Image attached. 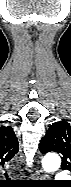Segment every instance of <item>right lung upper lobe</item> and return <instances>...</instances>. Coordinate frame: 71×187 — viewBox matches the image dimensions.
I'll list each match as a JSON object with an SVG mask.
<instances>
[{
  "label": "right lung upper lobe",
  "mask_w": 71,
  "mask_h": 187,
  "mask_svg": "<svg viewBox=\"0 0 71 187\" xmlns=\"http://www.w3.org/2000/svg\"><path fill=\"white\" fill-rule=\"evenodd\" d=\"M18 141L11 126L0 127V157L9 162L18 153Z\"/></svg>",
  "instance_id": "cb5924a9"
}]
</instances>
